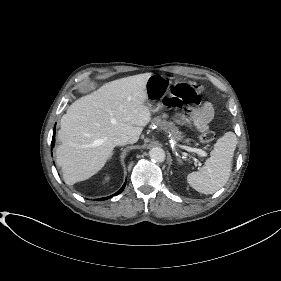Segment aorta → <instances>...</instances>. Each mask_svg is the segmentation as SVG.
Instances as JSON below:
<instances>
[{"label": "aorta", "instance_id": "aorta-1", "mask_svg": "<svg viewBox=\"0 0 281 281\" xmlns=\"http://www.w3.org/2000/svg\"><path fill=\"white\" fill-rule=\"evenodd\" d=\"M149 156L152 161L163 162L165 160V151L160 147H154L149 151Z\"/></svg>", "mask_w": 281, "mask_h": 281}]
</instances>
